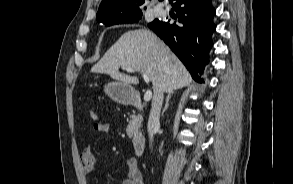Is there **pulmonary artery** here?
Listing matches in <instances>:
<instances>
[{
	"label": "pulmonary artery",
	"mask_w": 293,
	"mask_h": 184,
	"mask_svg": "<svg viewBox=\"0 0 293 184\" xmlns=\"http://www.w3.org/2000/svg\"><path fill=\"white\" fill-rule=\"evenodd\" d=\"M156 12H157V14L160 15V16L165 15V10H164L163 8H161V7H157V8H156Z\"/></svg>",
	"instance_id": "pulmonary-artery-1"
}]
</instances>
